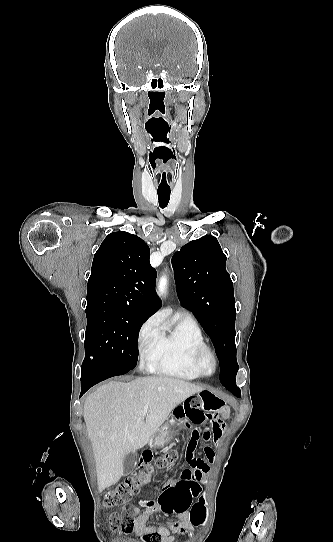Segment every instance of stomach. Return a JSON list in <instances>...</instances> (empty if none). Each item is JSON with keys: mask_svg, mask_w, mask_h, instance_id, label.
Wrapping results in <instances>:
<instances>
[{"mask_svg": "<svg viewBox=\"0 0 333 542\" xmlns=\"http://www.w3.org/2000/svg\"><path fill=\"white\" fill-rule=\"evenodd\" d=\"M187 400H199L200 410L205 412V414H214V412H220L225 404V400L213 394L210 390H203V392H198V394H193L192 397H189ZM179 428V418L176 416H171L158 432L154 434L152 440H149L148 446L150 448H163L166 444H169L172 440L174 432Z\"/></svg>", "mask_w": 333, "mask_h": 542, "instance_id": "0dacf381", "label": "stomach"}]
</instances>
